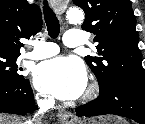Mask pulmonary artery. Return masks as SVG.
<instances>
[{
	"label": "pulmonary artery",
	"instance_id": "e3ab8cb5",
	"mask_svg": "<svg viewBox=\"0 0 145 124\" xmlns=\"http://www.w3.org/2000/svg\"><path fill=\"white\" fill-rule=\"evenodd\" d=\"M64 43L67 47H79L83 42V31L78 29H70L66 32ZM35 50L25 55L28 59L40 60L56 55L59 48L55 43L38 41L34 44Z\"/></svg>",
	"mask_w": 145,
	"mask_h": 124
}]
</instances>
